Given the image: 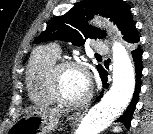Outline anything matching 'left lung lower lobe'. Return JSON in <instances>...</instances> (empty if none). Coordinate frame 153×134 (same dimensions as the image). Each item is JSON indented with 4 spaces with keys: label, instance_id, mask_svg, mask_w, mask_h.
Returning a JSON list of instances; mask_svg holds the SVG:
<instances>
[{
    "label": "left lung lower lobe",
    "instance_id": "1",
    "mask_svg": "<svg viewBox=\"0 0 153 134\" xmlns=\"http://www.w3.org/2000/svg\"><path fill=\"white\" fill-rule=\"evenodd\" d=\"M132 57L135 65V72H136V86H135V91L134 95L132 98V101L126 111L123 113L122 116H120L117 119V122H122L127 128L130 126L131 118L133 116L134 109L136 107V104L138 102L139 98V92H140V87H141V77H142V50L140 49V46L138 45L134 50H132ZM100 77L102 79V83L104 87H108L107 83V72L105 69H103L100 72ZM104 90L101 92L99 97L95 100V102L99 101L102 96H103Z\"/></svg>",
    "mask_w": 153,
    "mask_h": 134
}]
</instances>
